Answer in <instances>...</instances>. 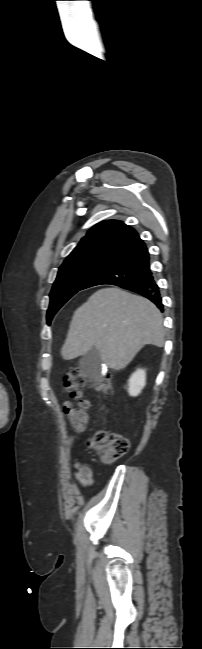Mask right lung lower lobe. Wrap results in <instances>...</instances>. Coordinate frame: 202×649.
Wrapping results in <instances>:
<instances>
[{"instance_id": "right-lung-lower-lobe-1", "label": "right lung lower lobe", "mask_w": 202, "mask_h": 649, "mask_svg": "<svg viewBox=\"0 0 202 649\" xmlns=\"http://www.w3.org/2000/svg\"><path fill=\"white\" fill-rule=\"evenodd\" d=\"M149 259L148 250L142 241L113 256L87 280L81 290L100 284L116 285L145 296L163 310L159 287L153 279Z\"/></svg>"}]
</instances>
